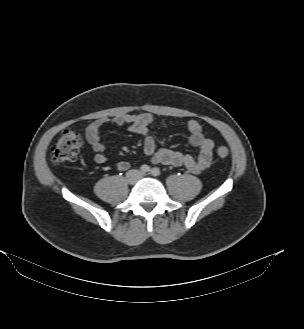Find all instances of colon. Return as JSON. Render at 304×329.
<instances>
[{
  "mask_svg": "<svg viewBox=\"0 0 304 329\" xmlns=\"http://www.w3.org/2000/svg\"><path fill=\"white\" fill-rule=\"evenodd\" d=\"M82 143V134L75 128L66 129L54 145L50 161L54 166H60L76 160L79 148ZM217 156L226 159L229 156V149L226 146L217 148Z\"/></svg>",
  "mask_w": 304,
  "mask_h": 329,
  "instance_id": "colon-1",
  "label": "colon"
}]
</instances>
